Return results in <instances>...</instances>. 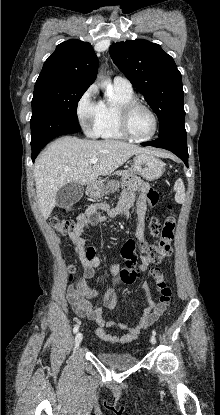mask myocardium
Masks as SVG:
<instances>
[{
    "label": "myocardium",
    "mask_w": 220,
    "mask_h": 415,
    "mask_svg": "<svg viewBox=\"0 0 220 415\" xmlns=\"http://www.w3.org/2000/svg\"><path fill=\"white\" fill-rule=\"evenodd\" d=\"M143 108L146 111H148L153 119V131L150 135H148L147 137L144 138H138L135 137L129 130V126H128V120H129V116L131 114V112L135 109V108ZM117 122H118V127L120 132L123 134V136L131 141L134 142H146L151 140L157 133L158 131V117L155 113V111L147 104L136 100V99H132L129 100L123 104H121L118 107L117 110Z\"/></svg>",
    "instance_id": "myocardium-1"
}]
</instances>
